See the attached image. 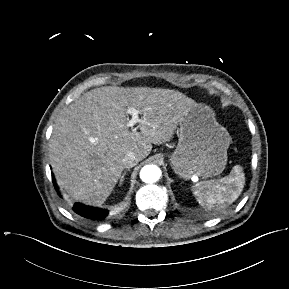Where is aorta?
<instances>
[{
  "mask_svg": "<svg viewBox=\"0 0 289 289\" xmlns=\"http://www.w3.org/2000/svg\"><path fill=\"white\" fill-rule=\"evenodd\" d=\"M161 170L156 165H145L140 171V179L145 183L157 182L161 177Z\"/></svg>",
  "mask_w": 289,
  "mask_h": 289,
  "instance_id": "762f6f07",
  "label": "aorta"
}]
</instances>
